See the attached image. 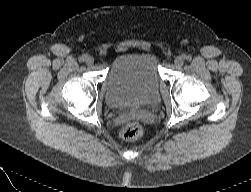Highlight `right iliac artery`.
<instances>
[{
  "mask_svg": "<svg viewBox=\"0 0 251 192\" xmlns=\"http://www.w3.org/2000/svg\"><path fill=\"white\" fill-rule=\"evenodd\" d=\"M86 57H87L86 55H82L81 57H79V61L80 62L85 61Z\"/></svg>",
  "mask_w": 251,
  "mask_h": 192,
  "instance_id": "1",
  "label": "right iliac artery"
}]
</instances>
